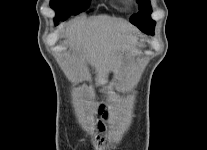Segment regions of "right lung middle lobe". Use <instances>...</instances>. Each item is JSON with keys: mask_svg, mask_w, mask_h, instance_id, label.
Returning <instances> with one entry per match:
<instances>
[{"mask_svg": "<svg viewBox=\"0 0 207 150\" xmlns=\"http://www.w3.org/2000/svg\"><path fill=\"white\" fill-rule=\"evenodd\" d=\"M50 5L57 12L55 23H58L61 17L66 20L70 15L86 10L89 0H51Z\"/></svg>", "mask_w": 207, "mask_h": 150, "instance_id": "obj_1", "label": "right lung middle lobe"}]
</instances>
